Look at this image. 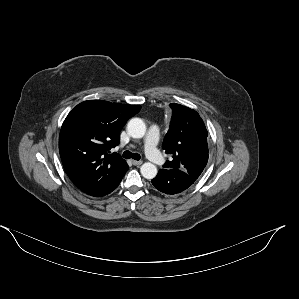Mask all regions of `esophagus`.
<instances>
[{
    "label": "esophagus",
    "instance_id": "esophagus-1",
    "mask_svg": "<svg viewBox=\"0 0 299 299\" xmlns=\"http://www.w3.org/2000/svg\"><path fill=\"white\" fill-rule=\"evenodd\" d=\"M132 163H133V165H135V166H139V165H141L142 163H143V161H141V160H132Z\"/></svg>",
    "mask_w": 299,
    "mask_h": 299
}]
</instances>
